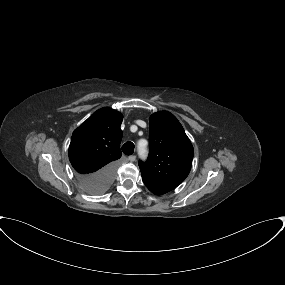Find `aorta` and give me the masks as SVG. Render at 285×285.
I'll return each mask as SVG.
<instances>
[{"label": "aorta", "mask_w": 285, "mask_h": 285, "mask_svg": "<svg viewBox=\"0 0 285 285\" xmlns=\"http://www.w3.org/2000/svg\"><path fill=\"white\" fill-rule=\"evenodd\" d=\"M138 155L140 158L145 159L147 157L148 154V150L146 145L142 144L141 141L138 142Z\"/></svg>", "instance_id": "obj_1"}]
</instances>
